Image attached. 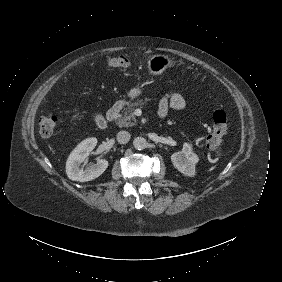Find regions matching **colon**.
Instances as JSON below:
<instances>
[{"label": "colon", "instance_id": "5ec220e1", "mask_svg": "<svg viewBox=\"0 0 282 282\" xmlns=\"http://www.w3.org/2000/svg\"><path fill=\"white\" fill-rule=\"evenodd\" d=\"M106 65L112 70H124L129 66V59L121 53L109 55ZM58 124V117L53 113L45 114L39 120V132L44 137L53 135ZM228 133V117L225 111L216 110L211 117V127L206 136V145L209 150H217L223 147Z\"/></svg>", "mask_w": 282, "mask_h": 282}]
</instances>
